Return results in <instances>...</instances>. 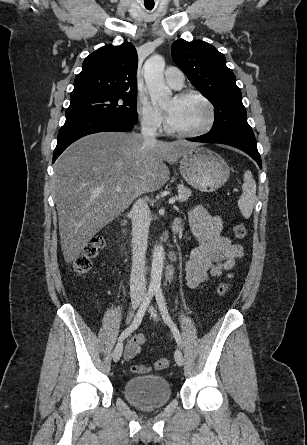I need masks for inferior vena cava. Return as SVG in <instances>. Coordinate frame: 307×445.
<instances>
[{"label": "inferior vena cava", "mask_w": 307, "mask_h": 445, "mask_svg": "<svg viewBox=\"0 0 307 445\" xmlns=\"http://www.w3.org/2000/svg\"><path fill=\"white\" fill-rule=\"evenodd\" d=\"M157 126L150 124L147 118L141 120V136L144 142H156ZM132 218V269L130 279L131 302L140 304L146 293L145 289V259L150 227L149 208L143 198H138L131 210Z\"/></svg>", "instance_id": "obj_1"}]
</instances>
